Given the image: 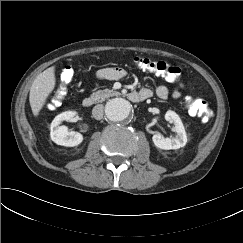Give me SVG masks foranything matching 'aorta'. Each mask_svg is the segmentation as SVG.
<instances>
[{"label":"aorta","instance_id":"aorta-1","mask_svg":"<svg viewBox=\"0 0 243 243\" xmlns=\"http://www.w3.org/2000/svg\"><path fill=\"white\" fill-rule=\"evenodd\" d=\"M130 112L131 105L123 98H114L105 106V115L112 122L124 121Z\"/></svg>","mask_w":243,"mask_h":243}]
</instances>
